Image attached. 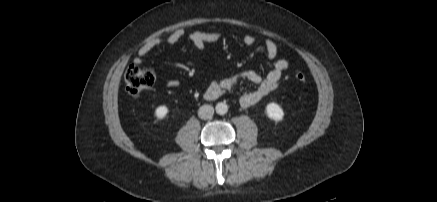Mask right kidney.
Listing matches in <instances>:
<instances>
[{
    "label": "right kidney",
    "mask_w": 437,
    "mask_h": 202,
    "mask_svg": "<svg viewBox=\"0 0 437 202\" xmlns=\"http://www.w3.org/2000/svg\"><path fill=\"white\" fill-rule=\"evenodd\" d=\"M168 112H169L168 107L165 105H162V106H159L155 109V116L157 119H163L167 115Z\"/></svg>",
    "instance_id": "ca27d5eb"
}]
</instances>
